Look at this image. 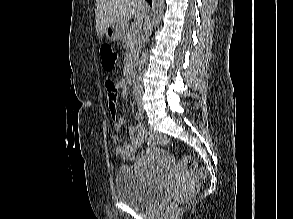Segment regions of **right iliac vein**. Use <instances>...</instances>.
I'll return each mask as SVG.
<instances>
[{
  "mask_svg": "<svg viewBox=\"0 0 293 219\" xmlns=\"http://www.w3.org/2000/svg\"><path fill=\"white\" fill-rule=\"evenodd\" d=\"M138 106H139L140 109H142V103L141 102L138 103Z\"/></svg>",
  "mask_w": 293,
  "mask_h": 219,
  "instance_id": "obj_1",
  "label": "right iliac vein"
}]
</instances>
